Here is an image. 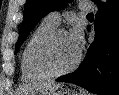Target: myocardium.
Masks as SVG:
<instances>
[{"instance_id":"obj_1","label":"myocardium","mask_w":119,"mask_h":95,"mask_svg":"<svg viewBox=\"0 0 119 95\" xmlns=\"http://www.w3.org/2000/svg\"><path fill=\"white\" fill-rule=\"evenodd\" d=\"M62 33H68L67 30L64 28H56L52 32H50L40 43L37 54L36 60L38 66L49 76V77H58L65 74H68L74 71L81 62V51L78 50L76 59L74 62L66 68L63 69H55L51 62H50V49L55 41V39Z\"/></svg>"}]
</instances>
